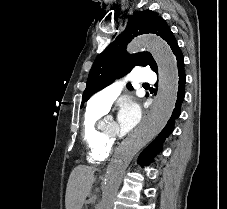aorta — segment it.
<instances>
[{
    "label": "aorta",
    "instance_id": "aorta-1",
    "mask_svg": "<svg viewBox=\"0 0 227 209\" xmlns=\"http://www.w3.org/2000/svg\"><path fill=\"white\" fill-rule=\"evenodd\" d=\"M129 52L147 50L158 66L159 86L155 104L147 121L135 139L122 145L107 168L102 186V199L97 209H112L123 174L136 153L152 141L166 125L176 102L178 69L170 46L155 35L135 38L127 47Z\"/></svg>",
    "mask_w": 227,
    "mask_h": 209
}]
</instances>
